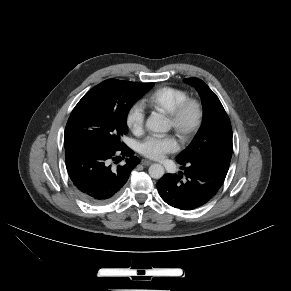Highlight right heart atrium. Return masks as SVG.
<instances>
[{
	"instance_id": "right-heart-atrium-1",
	"label": "right heart atrium",
	"mask_w": 291,
	"mask_h": 291,
	"mask_svg": "<svg viewBox=\"0 0 291 291\" xmlns=\"http://www.w3.org/2000/svg\"><path fill=\"white\" fill-rule=\"evenodd\" d=\"M126 124L128 128L139 134L143 131L145 125V112L139 103L130 106L126 113Z\"/></svg>"
}]
</instances>
